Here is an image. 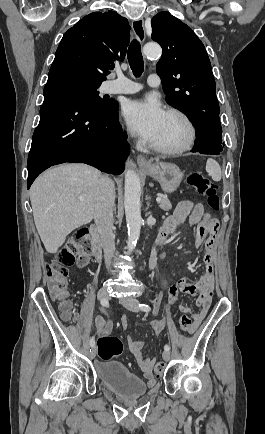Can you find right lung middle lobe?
I'll return each instance as SVG.
<instances>
[{
	"mask_svg": "<svg viewBox=\"0 0 265 434\" xmlns=\"http://www.w3.org/2000/svg\"><path fill=\"white\" fill-rule=\"evenodd\" d=\"M101 81H97L85 76L71 74H56L48 76L47 84H61L70 87L84 98L93 110L95 111H110L117 106L114 100L102 99L99 96L97 88L101 85Z\"/></svg>",
	"mask_w": 265,
	"mask_h": 434,
	"instance_id": "dd1d6c3e",
	"label": "right lung middle lobe"
}]
</instances>
